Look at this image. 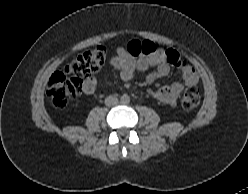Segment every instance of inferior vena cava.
<instances>
[{"mask_svg":"<svg viewBox=\"0 0 248 194\" xmlns=\"http://www.w3.org/2000/svg\"><path fill=\"white\" fill-rule=\"evenodd\" d=\"M118 103V98H116L115 96H108L105 99V105L106 106H114Z\"/></svg>","mask_w":248,"mask_h":194,"instance_id":"602c4592","label":"inferior vena cava"}]
</instances>
